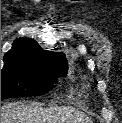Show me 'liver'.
I'll return each instance as SVG.
<instances>
[{"instance_id":"1","label":"liver","mask_w":122,"mask_h":123,"mask_svg":"<svg viewBox=\"0 0 122 123\" xmlns=\"http://www.w3.org/2000/svg\"><path fill=\"white\" fill-rule=\"evenodd\" d=\"M1 123H93L82 112L71 108H42L37 103L11 102L3 106Z\"/></svg>"}]
</instances>
